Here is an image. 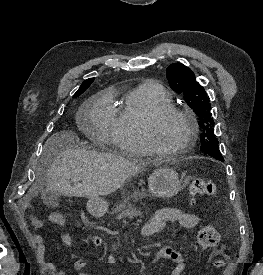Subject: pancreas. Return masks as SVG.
<instances>
[{
  "label": "pancreas",
  "instance_id": "1",
  "mask_svg": "<svg viewBox=\"0 0 263 275\" xmlns=\"http://www.w3.org/2000/svg\"><path fill=\"white\" fill-rule=\"evenodd\" d=\"M145 196L144 193L136 192L133 195L127 197V199L124 200L122 204L117 206L115 209L116 212H119L116 219L120 220L123 218H130L133 219L135 217H142V212L132 206L130 203V200L137 201L139 199H142Z\"/></svg>",
  "mask_w": 263,
  "mask_h": 275
}]
</instances>
